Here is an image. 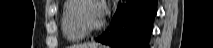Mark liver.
Returning a JSON list of instances; mask_svg holds the SVG:
<instances>
[{"mask_svg":"<svg viewBox=\"0 0 213 48\" xmlns=\"http://www.w3.org/2000/svg\"><path fill=\"white\" fill-rule=\"evenodd\" d=\"M70 48H98V45L95 43H84L79 45H72Z\"/></svg>","mask_w":213,"mask_h":48,"instance_id":"obj_1","label":"liver"}]
</instances>
